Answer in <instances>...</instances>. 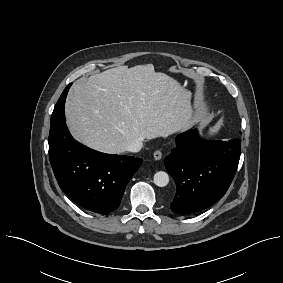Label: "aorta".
<instances>
[{
	"label": "aorta",
	"mask_w": 283,
	"mask_h": 283,
	"mask_svg": "<svg viewBox=\"0 0 283 283\" xmlns=\"http://www.w3.org/2000/svg\"><path fill=\"white\" fill-rule=\"evenodd\" d=\"M169 183V175L164 171H158L154 174V184L159 187H165Z\"/></svg>",
	"instance_id": "obj_1"
}]
</instances>
